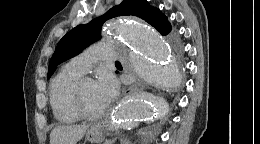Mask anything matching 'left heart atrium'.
<instances>
[{"label":"left heart atrium","instance_id":"1","mask_svg":"<svg viewBox=\"0 0 260 144\" xmlns=\"http://www.w3.org/2000/svg\"><path fill=\"white\" fill-rule=\"evenodd\" d=\"M96 88L102 102L106 106L117 95L119 85L114 76L104 73L96 81Z\"/></svg>","mask_w":260,"mask_h":144}]
</instances>
